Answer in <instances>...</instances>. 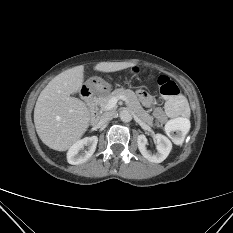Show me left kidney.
<instances>
[{"mask_svg": "<svg viewBox=\"0 0 233 233\" xmlns=\"http://www.w3.org/2000/svg\"><path fill=\"white\" fill-rule=\"evenodd\" d=\"M154 141L156 142V154H152L150 151L147 150V138L145 137V135L142 134L137 137L138 148L143 157L150 162L161 163L169 155L172 149V143L166 136L162 134H155Z\"/></svg>", "mask_w": 233, "mask_h": 233, "instance_id": "5707ae66", "label": "left kidney"}]
</instances>
